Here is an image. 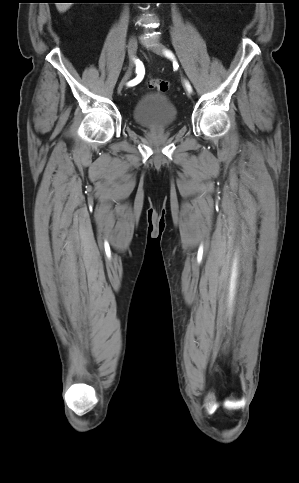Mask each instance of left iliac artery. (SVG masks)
I'll use <instances>...</instances> for the list:
<instances>
[{
	"label": "left iliac artery",
	"instance_id": "obj_1",
	"mask_svg": "<svg viewBox=\"0 0 299 483\" xmlns=\"http://www.w3.org/2000/svg\"><path fill=\"white\" fill-rule=\"evenodd\" d=\"M166 55H167L168 57H173L172 53H171V52H168V51H166ZM187 87H188V89H189V90H191V87H190V85H189V84H187Z\"/></svg>",
	"mask_w": 299,
	"mask_h": 483
}]
</instances>
